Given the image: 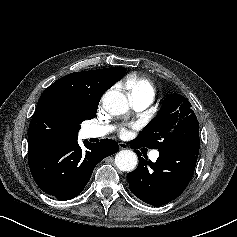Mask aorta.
<instances>
[{"label":"aorta","instance_id":"762f6f07","mask_svg":"<svg viewBox=\"0 0 237 237\" xmlns=\"http://www.w3.org/2000/svg\"><path fill=\"white\" fill-rule=\"evenodd\" d=\"M104 109L111 115H121L129 110L128 100L119 91L107 92L102 100ZM137 155L131 150H121L115 156V164L121 171L130 172L136 168Z\"/></svg>","mask_w":237,"mask_h":237}]
</instances>
